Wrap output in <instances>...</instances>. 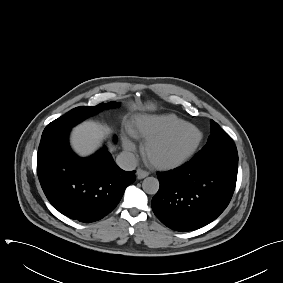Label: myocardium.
I'll return each instance as SVG.
<instances>
[{
  "mask_svg": "<svg viewBox=\"0 0 283 283\" xmlns=\"http://www.w3.org/2000/svg\"><path fill=\"white\" fill-rule=\"evenodd\" d=\"M182 127H191L197 132V139L195 143L193 144V146L186 153H184L182 156H180L179 158L175 160L159 161V160L153 159L151 157V150L154 147L167 141L177 130H179ZM202 141H203L202 131L196 125L190 122L184 121V122H181L171 127L164 133L154 138L146 140L144 144L142 145L141 151H142V155L144 159L152 167L159 169V170H173V169L179 168L183 166L184 164H186L196 154V152L198 151L199 147L202 144Z\"/></svg>",
  "mask_w": 283,
  "mask_h": 283,
  "instance_id": "f54148a6",
  "label": "myocardium"
}]
</instances>
